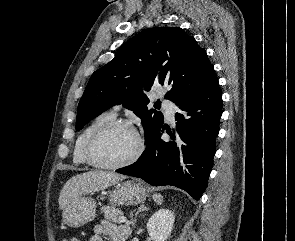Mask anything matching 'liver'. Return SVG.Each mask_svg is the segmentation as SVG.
I'll list each match as a JSON object with an SVG mask.
<instances>
[{
	"instance_id": "liver-1",
	"label": "liver",
	"mask_w": 295,
	"mask_h": 241,
	"mask_svg": "<svg viewBox=\"0 0 295 241\" xmlns=\"http://www.w3.org/2000/svg\"><path fill=\"white\" fill-rule=\"evenodd\" d=\"M123 179H125L123 175L105 171L77 174L63 186L58 199L59 207L64 210L83 195L104 190Z\"/></svg>"
}]
</instances>
